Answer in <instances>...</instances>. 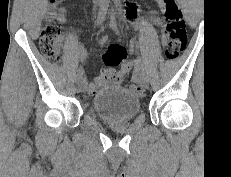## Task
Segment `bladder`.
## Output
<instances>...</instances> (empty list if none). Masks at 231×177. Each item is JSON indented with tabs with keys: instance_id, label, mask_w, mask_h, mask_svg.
Returning a JSON list of instances; mask_svg holds the SVG:
<instances>
[{
	"instance_id": "31cf9c89",
	"label": "bladder",
	"mask_w": 231,
	"mask_h": 177,
	"mask_svg": "<svg viewBox=\"0 0 231 177\" xmlns=\"http://www.w3.org/2000/svg\"><path fill=\"white\" fill-rule=\"evenodd\" d=\"M94 112L107 121L131 119L140 110L138 97L129 90L108 86L102 88L92 100Z\"/></svg>"
}]
</instances>
